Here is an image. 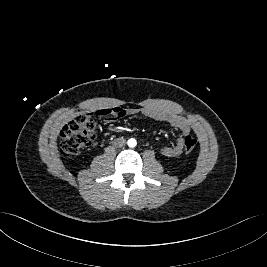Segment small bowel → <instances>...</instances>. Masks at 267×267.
Masks as SVG:
<instances>
[{"label":"small bowel","instance_id":"obj_1","mask_svg":"<svg viewBox=\"0 0 267 267\" xmlns=\"http://www.w3.org/2000/svg\"><path fill=\"white\" fill-rule=\"evenodd\" d=\"M95 114L102 116L106 122H113L115 119L124 115L136 114H140L154 120L167 122L172 127L176 128L181 135L174 145L164 146L160 149V153L166 157L179 156L184 148V137L192 131V124L183 116L154 107L129 108L127 110L122 108L102 109L95 112ZM94 145L96 146L97 143Z\"/></svg>","mask_w":267,"mask_h":267}]
</instances>
